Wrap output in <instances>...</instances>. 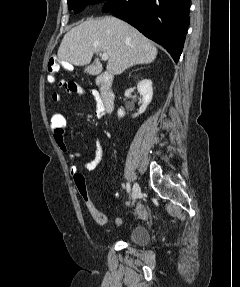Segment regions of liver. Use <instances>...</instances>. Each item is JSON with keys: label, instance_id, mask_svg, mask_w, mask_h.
Returning a JSON list of instances; mask_svg holds the SVG:
<instances>
[{"label": "liver", "instance_id": "1", "mask_svg": "<svg viewBox=\"0 0 240 287\" xmlns=\"http://www.w3.org/2000/svg\"><path fill=\"white\" fill-rule=\"evenodd\" d=\"M107 53V71L123 73L137 64L155 60L157 48L137 29L112 16L88 19L73 27L62 39L58 59L75 66L89 64L95 53Z\"/></svg>", "mask_w": 240, "mask_h": 287}]
</instances>
